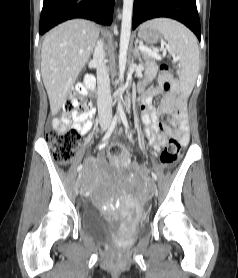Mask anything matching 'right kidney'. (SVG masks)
Segmentation results:
<instances>
[{"label":"right kidney","instance_id":"ca27d5eb","mask_svg":"<svg viewBox=\"0 0 238 278\" xmlns=\"http://www.w3.org/2000/svg\"><path fill=\"white\" fill-rule=\"evenodd\" d=\"M84 84L89 90H94L95 88V78L91 75H85Z\"/></svg>","mask_w":238,"mask_h":278}]
</instances>
